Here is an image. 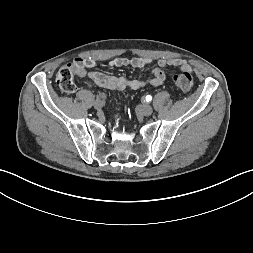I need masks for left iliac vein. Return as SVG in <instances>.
Masks as SVG:
<instances>
[{
  "instance_id": "4c4485c4",
  "label": "left iliac vein",
  "mask_w": 253,
  "mask_h": 253,
  "mask_svg": "<svg viewBox=\"0 0 253 253\" xmlns=\"http://www.w3.org/2000/svg\"><path fill=\"white\" fill-rule=\"evenodd\" d=\"M138 111L144 116H150L153 113V108L149 104H142L138 107Z\"/></svg>"
}]
</instances>
